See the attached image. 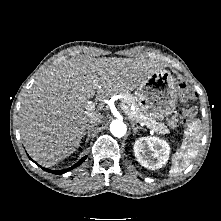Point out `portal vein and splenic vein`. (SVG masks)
<instances>
[{
  "instance_id": "obj_1",
  "label": "portal vein and splenic vein",
  "mask_w": 221,
  "mask_h": 221,
  "mask_svg": "<svg viewBox=\"0 0 221 221\" xmlns=\"http://www.w3.org/2000/svg\"><path fill=\"white\" fill-rule=\"evenodd\" d=\"M88 106L91 107V108L94 107V105L92 104V102H89V103H88ZM121 108H122V110H123L127 115H129V110H130V109H129L128 106H126L125 104L122 103V104H121Z\"/></svg>"
}]
</instances>
